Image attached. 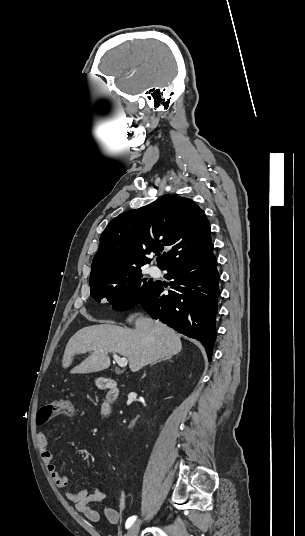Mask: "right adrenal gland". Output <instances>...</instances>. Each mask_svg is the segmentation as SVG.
I'll return each mask as SVG.
<instances>
[{
    "mask_svg": "<svg viewBox=\"0 0 305 536\" xmlns=\"http://www.w3.org/2000/svg\"><path fill=\"white\" fill-rule=\"evenodd\" d=\"M163 360H170V358H163ZM159 362H162V360H159Z\"/></svg>",
    "mask_w": 305,
    "mask_h": 536,
    "instance_id": "1",
    "label": "right adrenal gland"
}]
</instances>
